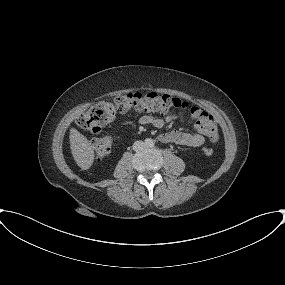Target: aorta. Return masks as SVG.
Instances as JSON below:
<instances>
[{"label":"aorta","instance_id":"aorta-1","mask_svg":"<svg viewBox=\"0 0 285 285\" xmlns=\"http://www.w3.org/2000/svg\"><path fill=\"white\" fill-rule=\"evenodd\" d=\"M146 145L152 147V146L154 145L153 140L147 139V140H146Z\"/></svg>","mask_w":285,"mask_h":285}]
</instances>
